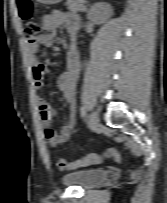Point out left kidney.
I'll return each instance as SVG.
<instances>
[{"label":"left kidney","instance_id":"5707ae66","mask_svg":"<svg viewBox=\"0 0 167 203\" xmlns=\"http://www.w3.org/2000/svg\"><path fill=\"white\" fill-rule=\"evenodd\" d=\"M112 11L109 5L104 3L94 4L88 12V19L95 24L104 23L110 16Z\"/></svg>","mask_w":167,"mask_h":203}]
</instances>
